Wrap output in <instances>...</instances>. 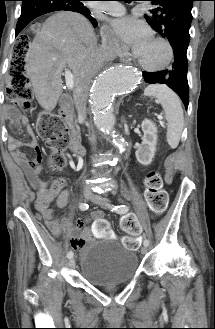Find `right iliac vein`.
<instances>
[{"mask_svg": "<svg viewBox=\"0 0 215 329\" xmlns=\"http://www.w3.org/2000/svg\"><path fill=\"white\" fill-rule=\"evenodd\" d=\"M83 196L85 199H90L92 194L90 192V190H84L83 191ZM68 265L71 269H73L75 267V260L74 258H70L69 262H68Z\"/></svg>", "mask_w": 215, "mask_h": 329, "instance_id": "obj_1", "label": "right iliac vein"}]
</instances>
